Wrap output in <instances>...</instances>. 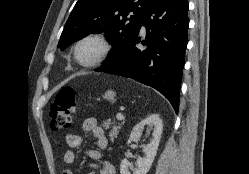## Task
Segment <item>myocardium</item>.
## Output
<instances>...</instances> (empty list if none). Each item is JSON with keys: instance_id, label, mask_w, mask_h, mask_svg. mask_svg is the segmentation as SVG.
I'll return each instance as SVG.
<instances>
[{"instance_id": "1", "label": "myocardium", "mask_w": 249, "mask_h": 174, "mask_svg": "<svg viewBox=\"0 0 249 174\" xmlns=\"http://www.w3.org/2000/svg\"><path fill=\"white\" fill-rule=\"evenodd\" d=\"M88 41L97 42L101 47V51L94 59L89 60V61H83L79 57V48L83 43L88 42ZM112 49H113L112 43L104 33L91 32V33L84 35L79 40H77V42L74 45L73 54H74L75 60L81 66L94 67V66L99 65L103 61H105L111 54Z\"/></svg>"}]
</instances>
